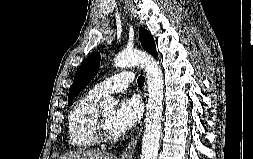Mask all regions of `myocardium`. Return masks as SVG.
<instances>
[{
	"instance_id": "f54148a6",
	"label": "myocardium",
	"mask_w": 253,
	"mask_h": 159,
	"mask_svg": "<svg viewBox=\"0 0 253 159\" xmlns=\"http://www.w3.org/2000/svg\"><path fill=\"white\" fill-rule=\"evenodd\" d=\"M95 136L98 142L102 143H114L119 138V134H112L104 121L101 111L97 112L96 122H95Z\"/></svg>"
}]
</instances>
